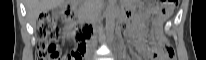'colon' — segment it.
Instances as JSON below:
<instances>
[{
	"label": "colon",
	"mask_w": 206,
	"mask_h": 60,
	"mask_svg": "<svg viewBox=\"0 0 206 60\" xmlns=\"http://www.w3.org/2000/svg\"><path fill=\"white\" fill-rule=\"evenodd\" d=\"M164 6L160 8L161 14H167L176 5V1H164ZM37 32V60H81L86 49L88 35L80 33L78 35V48L68 55H62L58 48L59 29L55 21L49 14H41L38 19ZM148 48L152 56L159 59L173 60L175 57L174 50L170 47L165 39H161L158 44L148 42Z\"/></svg>",
	"instance_id": "obj_1"
}]
</instances>
